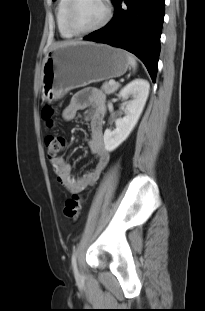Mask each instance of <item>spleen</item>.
Wrapping results in <instances>:
<instances>
[{"label":"spleen","mask_w":205,"mask_h":311,"mask_svg":"<svg viewBox=\"0 0 205 311\" xmlns=\"http://www.w3.org/2000/svg\"><path fill=\"white\" fill-rule=\"evenodd\" d=\"M127 59H128L130 66L135 70L137 67L136 58L131 54H127Z\"/></svg>","instance_id":"spleen-1"}]
</instances>
